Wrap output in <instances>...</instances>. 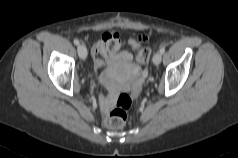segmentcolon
I'll list each match as a JSON object with an SVG mask.
<instances>
[{
	"label": "colon",
	"instance_id": "5ec220e1",
	"mask_svg": "<svg viewBox=\"0 0 238 158\" xmlns=\"http://www.w3.org/2000/svg\"><path fill=\"white\" fill-rule=\"evenodd\" d=\"M140 40V38H139ZM124 44L119 40V47ZM128 44L132 46L135 51L137 61L145 65L149 62L150 50L144 47L137 40H129ZM132 105V97L130 94L123 92L121 93L116 101L115 108L105 117L104 124L111 129L122 128L127 120V110Z\"/></svg>",
	"mask_w": 238,
	"mask_h": 158
}]
</instances>
